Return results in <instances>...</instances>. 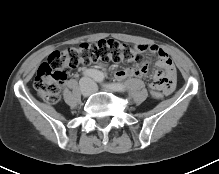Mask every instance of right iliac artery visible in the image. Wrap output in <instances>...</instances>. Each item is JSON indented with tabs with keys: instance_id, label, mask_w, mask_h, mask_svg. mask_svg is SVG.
I'll list each match as a JSON object with an SVG mask.
<instances>
[{
	"instance_id": "obj_1",
	"label": "right iliac artery",
	"mask_w": 219,
	"mask_h": 174,
	"mask_svg": "<svg viewBox=\"0 0 219 174\" xmlns=\"http://www.w3.org/2000/svg\"><path fill=\"white\" fill-rule=\"evenodd\" d=\"M97 70H94V69H88L84 72V75L85 76H88V77H92V78H95V76L97 75Z\"/></svg>"
}]
</instances>
